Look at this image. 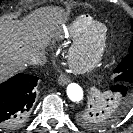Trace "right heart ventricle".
Instances as JSON below:
<instances>
[{"label": "right heart ventricle", "mask_w": 133, "mask_h": 133, "mask_svg": "<svg viewBox=\"0 0 133 133\" xmlns=\"http://www.w3.org/2000/svg\"><path fill=\"white\" fill-rule=\"evenodd\" d=\"M95 21V18L91 15L80 14L61 29L58 38L63 42L74 41Z\"/></svg>", "instance_id": "obj_1"}]
</instances>
